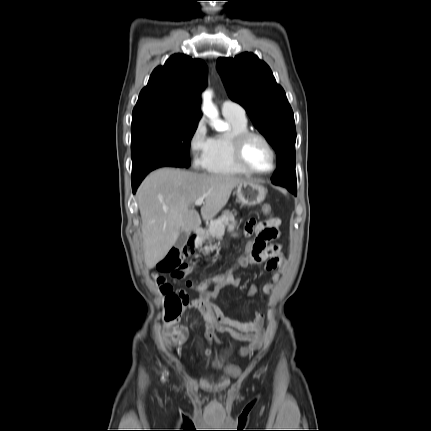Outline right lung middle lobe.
Masks as SVG:
<instances>
[{"label": "right lung middle lobe", "instance_id": "right-lung-middle-lobe-1", "mask_svg": "<svg viewBox=\"0 0 431 431\" xmlns=\"http://www.w3.org/2000/svg\"><path fill=\"white\" fill-rule=\"evenodd\" d=\"M198 120L168 116H142L133 118L131 127L132 162L145 159L153 153H161L189 167L191 138Z\"/></svg>", "mask_w": 431, "mask_h": 431}]
</instances>
